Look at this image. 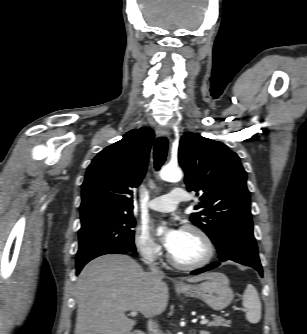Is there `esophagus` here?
I'll return each instance as SVG.
<instances>
[{
  "mask_svg": "<svg viewBox=\"0 0 307 334\" xmlns=\"http://www.w3.org/2000/svg\"><path fill=\"white\" fill-rule=\"evenodd\" d=\"M156 134L161 137H168L169 136V128L168 126H161L158 125L156 127Z\"/></svg>",
  "mask_w": 307,
  "mask_h": 334,
  "instance_id": "34e87169",
  "label": "esophagus"
}]
</instances>
